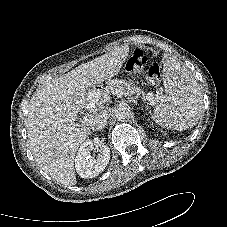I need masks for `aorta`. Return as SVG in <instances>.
Masks as SVG:
<instances>
[{"label":"aorta","instance_id":"aorta-1","mask_svg":"<svg viewBox=\"0 0 227 227\" xmlns=\"http://www.w3.org/2000/svg\"><path fill=\"white\" fill-rule=\"evenodd\" d=\"M132 112L130 108L122 106L115 110V116L119 121H127L131 118Z\"/></svg>","mask_w":227,"mask_h":227}]
</instances>
